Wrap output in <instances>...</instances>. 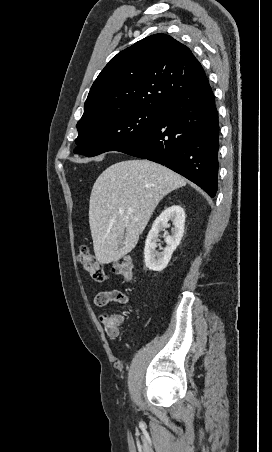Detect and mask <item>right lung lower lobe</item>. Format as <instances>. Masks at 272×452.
I'll return each mask as SVG.
<instances>
[{
  "label": "right lung lower lobe",
  "instance_id": "obj_1",
  "mask_svg": "<svg viewBox=\"0 0 272 452\" xmlns=\"http://www.w3.org/2000/svg\"><path fill=\"white\" fill-rule=\"evenodd\" d=\"M219 123L209 82L162 109L156 123L117 151L181 174L212 198L218 183Z\"/></svg>",
  "mask_w": 272,
  "mask_h": 452
}]
</instances>
